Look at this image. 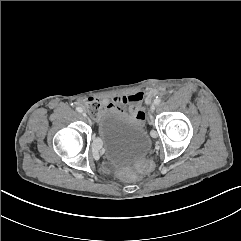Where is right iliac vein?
<instances>
[{"mask_svg":"<svg viewBox=\"0 0 241 241\" xmlns=\"http://www.w3.org/2000/svg\"><path fill=\"white\" fill-rule=\"evenodd\" d=\"M82 115H83L84 117H87V114H86L85 112H83Z\"/></svg>","mask_w":241,"mask_h":241,"instance_id":"63e3f726","label":"right iliac vein"}]
</instances>
